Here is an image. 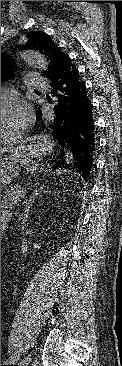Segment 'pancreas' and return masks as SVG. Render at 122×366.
Segmentation results:
<instances>
[{"mask_svg":"<svg viewBox=\"0 0 122 366\" xmlns=\"http://www.w3.org/2000/svg\"><path fill=\"white\" fill-rule=\"evenodd\" d=\"M25 192L26 190L22 188L21 185L19 184L12 185L4 191L2 202L9 205H13L14 202L21 200Z\"/></svg>","mask_w":122,"mask_h":366,"instance_id":"obj_1","label":"pancreas"}]
</instances>
